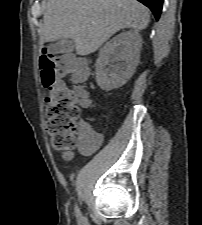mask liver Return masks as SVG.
Segmentation results:
<instances>
[{
	"mask_svg": "<svg viewBox=\"0 0 202 225\" xmlns=\"http://www.w3.org/2000/svg\"><path fill=\"white\" fill-rule=\"evenodd\" d=\"M40 43L70 38L80 56L95 52L121 29H145L147 8L137 0H44Z\"/></svg>",
	"mask_w": 202,
	"mask_h": 225,
	"instance_id": "6515ba94",
	"label": "liver"
}]
</instances>
